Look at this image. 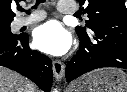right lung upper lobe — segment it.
I'll use <instances>...</instances> for the list:
<instances>
[{
    "label": "right lung upper lobe",
    "mask_w": 127,
    "mask_h": 92,
    "mask_svg": "<svg viewBox=\"0 0 127 92\" xmlns=\"http://www.w3.org/2000/svg\"><path fill=\"white\" fill-rule=\"evenodd\" d=\"M21 0H0V25L11 24L15 14L11 10V5L18 4Z\"/></svg>",
    "instance_id": "cb5924a9"
}]
</instances>
